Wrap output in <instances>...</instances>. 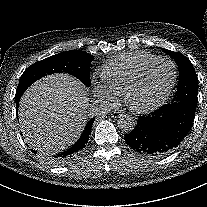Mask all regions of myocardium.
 <instances>
[{
	"instance_id": "f54148a6",
	"label": "myocardium",
	"mask_w": 207,
	"mask_h": 207,
	"mask_svg": "<svg viewBox=\"0 0 207 207\" xmlns=\"http://www.w3.org/2000/svg\"><path fill=\"white\" fill-rule=\"evenodd\" d=\"M159 62H168L173 66L174 72H173V78L171 81V85L166 93L165 98H168L169 96H171V94L174 91V88L176 86L177 83V78H178V70H177V65L176 63L168 57H159L156 58L152 61H150L149 63H147L142 69L141 71L138 73V75L130 82V84L127 86L124 94H123V101L125 103V105L127 106V108L136 113V114H140L143 109L138 108L136 106H134L131 101H130V97L131 95L136 91L137 88H139L142 83L144 82V79L146 77L147 72L157 63Z\"/></svg>"
}]
</instances>
